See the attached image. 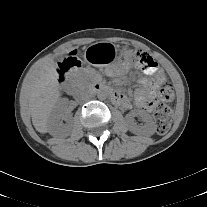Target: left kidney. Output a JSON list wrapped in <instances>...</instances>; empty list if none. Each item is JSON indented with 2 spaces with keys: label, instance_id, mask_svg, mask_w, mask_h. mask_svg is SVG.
Here are the masks:
<instances>
[{
  "label": "left kidney",
  "instance_id": "obj_1",
  "mask_svg": "<svg viewBox=\"0 0 207 207\" xmlns=\"http://www.w3.org/2000/svg\"><path fill=\"white\" fill-rule=\"evenodd\" d=\"M138 114L145 124L142 126L137 125L134 123L131 115H128L126 116V120L129 130L136 135L152 136L156 131V125L152 117L143 110H139Z\"/></svg>",
  "mask_w": 207,
  "mask_h": 207
}]
</instances>
